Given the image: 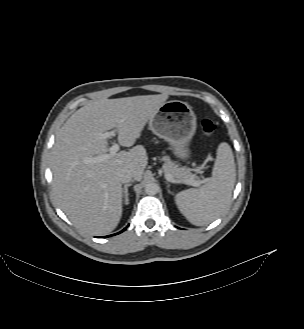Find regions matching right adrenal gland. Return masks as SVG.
<instances>
[{"label": "right adrenal gland", "mask_w": 304, "mask_h": 329, "mask_svg": "<svg viewBox=\"0 0 304 329\" xmlns=\"http://www.w3.org/2000/svg\"><path fill=\"white\" fill-rule=\"evenodd\" d=\"M131 183L124 185V203L129 204V197H128V187L131 186Z\"/></svg>", "instance_id": "obj_1"}]
</instances>
